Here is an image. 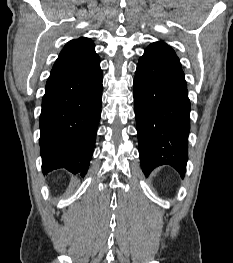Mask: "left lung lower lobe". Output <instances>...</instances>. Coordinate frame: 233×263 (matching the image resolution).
Segmentation results:
<instances>
[{"mask_svg": "<svg viewBox=\"0 0 233 263\" xmlns=\"http://www.w3.org/2000/svg\"><path fill=\"white\" fill-rule=\"evenodd\" d=\"M134 102L141 167L145 175L168 164L184 177L188 160L190 101L174 50L150 44L137 64Z\"/></svg>", "mask_w": 233, "mask_h": 263, "instance_id": "1", "label": "left lung lower lobe"}]
</instances>
